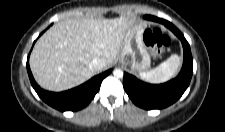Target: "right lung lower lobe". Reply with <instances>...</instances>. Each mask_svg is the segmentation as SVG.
Listing matches in <instances>:
<instances>
[{
  "label": "right lung lower lobe",
  "mask_w": 225,
  "mask_h": 132,
  "mask_svg": "<svg viewBox=\"0 0 225 132\" xmlns=\"http://www.w3.org/2000/svg\"><path fill=\"white\" fill-rule=\"evenodd\" d=\"M28 60L26 66L32 87L45 103L60 111H78L86 107L98 92L102 80L112 71L110 69L94 76L86 83L71 90L55 93L45 91L37 85L32 76Z\"/></svg>",
  "instance_id": "obj_1"
}]
</instances>
